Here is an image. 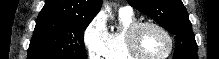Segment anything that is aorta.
Instances as JSON below:
<instances>
[{"mask_svg":"<svg viewBox=\"0 0 219 59\" xmlns=\"http://www.w3.org/2000/svg\"><path fill=\"white\" fill-rule=\"evenodd\" d=\"M104 5H105L106 10L109 12L110 8L106 4H104Z\"/></svg>","mask_w":219,"mask_h":59,"instance_id":"762f6f07","label":"aorta"}]
</instances>
